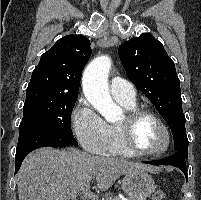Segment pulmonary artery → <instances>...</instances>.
<instances>
[{"label": "pulmonary artery", "instance_id": "pulmonary-artery-1", "mask_svg": "<svg viewBox=\"0 0 201 200\" xmlns=\"http://www.w3.org/2000/svg\"><path fill=\"white\" fill-rule=\"evenodd\" d=\"M110 91L114 99L135 101L136 91L133 85L120 77L111 79Z\"/></svg>", "mask_w": 201, "mask_h": 200}]
</instances>
